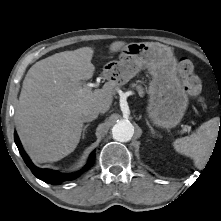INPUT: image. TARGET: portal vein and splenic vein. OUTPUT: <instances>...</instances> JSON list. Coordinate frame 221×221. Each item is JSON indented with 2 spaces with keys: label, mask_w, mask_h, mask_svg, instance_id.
Here are the masks:
<instances>
[{
  "label": "portal vein and splenic vein",
  "mask_w": 221,
  "mask_h": 221,
  "mask_svg": "<svg viewBox=\"0 0 221 221\" xmlns=\"http://www.w3.org/2000/svg\"><path fill=\"white\" fill-rule=\"evenodd\" d=\"M87 87H89V88H90V87H93V84H88Z\"/></svg>",
  "instance_id": "portal-vein-and-splenic-vein-1"
}]
</instances>
